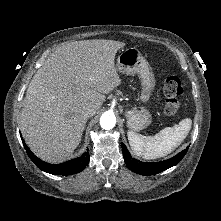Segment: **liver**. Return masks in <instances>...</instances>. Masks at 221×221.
<instances>
[{
	"mask_svg": "<svg viewBox=\"0 0 221 221\" xmlns=\"http://www.w3.org/2000/svg\"><path fill=\"white\" fill-rule=\"evenodd\" d=\"M125 43L113 40L71 42L56 49L33 76L20 114V130L41 159L57 163L81 141L86 105L99 109L122 80L116 52Z\"/></svg>",
	"mask_w": 221,
	"mask_h": 221,
	"instance_id": "6515ba94",
	"label": "liver"
}]
</instances>
